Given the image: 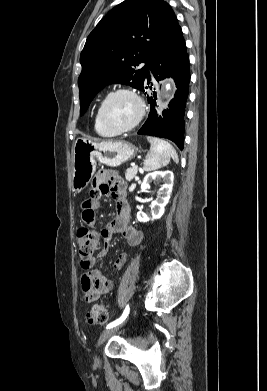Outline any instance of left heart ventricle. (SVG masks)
I'll return each instance as SVG.
<instances>
[{"label":"left heart ventricle","instance_id":"left-heart-ventricle-1","mask_svg":"<svg viewBox=\"0 0 267 391\" xmlns=\"http://www.w3.org/2000/svg\"><path fill=\"white\" fill-rule=\"evenodd\" d=\"M138 114V104L128 94H118L109 99L105 107V116L116 127L131 124Z\"/></svg>","mask_w":267,"mask_h":391}]
</instances>
